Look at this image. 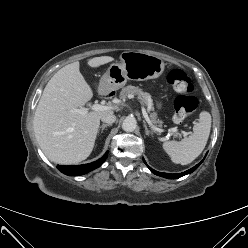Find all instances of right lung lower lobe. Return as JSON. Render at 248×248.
Returning a JSON list of instances; mask_svg holds the SVG:
<instances>
[{"label":"right lung lower lobe","mask_w":248,"mask_h":248,"mask_svg":"<svg viewBox=\"0 0 248 248\" xmlns=\"http://www.w3.org/2000/svg\"><path fill=\"white\" fill-rule=\"evenodd\" d=\"M108 156V151L99 160L84 164V165H73V166H63L58 165L57 168L64 174L68 176H78L84 175L98 167H100Z\"/></svg>","instance_id":"98d812e1"}]
</instances>
